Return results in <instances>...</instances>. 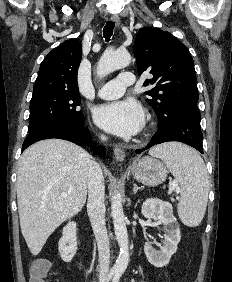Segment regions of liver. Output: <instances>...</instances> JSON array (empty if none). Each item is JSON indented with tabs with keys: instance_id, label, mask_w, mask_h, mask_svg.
<instances>
[{
	"instance_id": "liver-1",
	"label": "liver",
	"mask_w": 232,
	"mask_h": 282,
	"mask_svg": "<svg viewBox=\"0 0 232 282\" xmlns=\"http://www.w3.org/2000/svg\"><path fill=\"white\" fill-rule=\"evenodd\" d=\"M90 161L83 148L61 139L39 141L23 152L17 203L21 231L32 255H38L54 230L85 205Z\"/></svg>"
}]
</instances>
